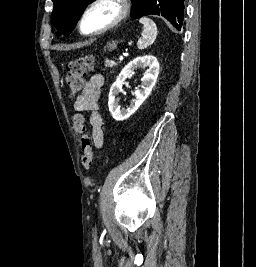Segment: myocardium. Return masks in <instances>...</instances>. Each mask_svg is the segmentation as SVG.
Listing matches in <instances>:
<instances>
[{
  "label": "myocardium",
  "mask_w": 256,
  "mask_h": 267,
  "mask_svg": "<svg viewBox=\"0 0 256 267\" xmlns=\"http://www.w3.org/2000/svg\"><path fill=\"white\" fill-rule=\"evenodd\" d=\"M101 5H110L112 7H114L116 9V16L115 18L103 29L96 31V32H86L83 29V22L84 19L86 17V15L93 10L94 8L101 6ZM128 13V8L127 6L122 3V1L120 0H97L95 2H93L92 4H90L88 7H86L79 15L78 18V29L80 31V33L84 36H89V37H95V36H99L102 35L104 33H106L107 31L111 30L112 28H114L116 25H118L126 16Z\"/></svg>",
  "instance_id": "f54148a6"
}]
</instances>
